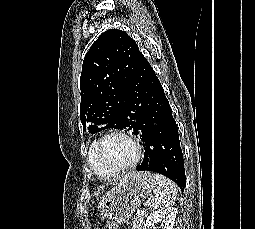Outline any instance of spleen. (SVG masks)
Returning a JSON list of instances; mask_svg holds the SVG:
<instances>
[{"label": "spleen", "instance_id": "spleen-1", "mask_svg": "<svg viewBox=\"0 0 255 229\" xmlns=\"http://www.w3.org/2000/svg\"><path fill=\"white\" fill-rule=\"evenodd\" d=\"M153 178L156 182V188L147 201L148 206L157 209L174 205L177 194L175 184L161 174L155 173Z\"/></svg>", "mask_w": 255, "mask_h": 229}]
</instances>
